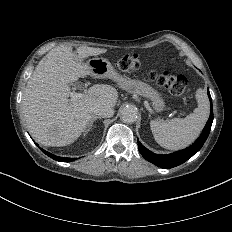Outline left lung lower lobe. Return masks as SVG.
Segmentation results:
<instances>
[{"instance_id":"1","label":"left lung lower lobe","mask_w":232,"mask_h":232,"mask_svg":"<svg viewBox=\"0 0 232 232\" xmlns=\"http://www.w3.org/2000/svg\"><path fill=\"white\" fill-rule=\"evenodd\" d=\"M209 100L211 102L210 104V116L209 119L200 135V137L189 147L171 153V154H155L151 151H149L146 147H144L139 141H138V149L141 155L148 160L149 162L155 164L156 166L164 169H170L176 166L181 165L182 163L186 162L188 159H190L194 154H196L201 147L204 145L210 130L211 125L213 122V106H212V99L210 96V93L208 91Z\"/></svg>"}]
</instances>
